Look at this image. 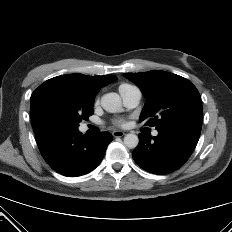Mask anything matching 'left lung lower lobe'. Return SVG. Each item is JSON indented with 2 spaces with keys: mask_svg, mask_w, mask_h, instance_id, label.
Wrapping results in <instances>:
<instances>
[{
  "mask_svg": "<svg viewBox=\"0 0 232 232\" xmlns=\"http://www.w3.org/2000/svg\"><path fill=\"white\" fill-rule=\"evenodd\" d=\"M201 127L202 122L182 121L157 128L156 137L139 134L133 159L150 173H171L189 159L199 140Z\"/></svg>",
  "mask_w": 232,
  "mask_h": 232,
  "instance_id": "obj_1",
  "label": "left lung lower lobe"
}]
</instances>
